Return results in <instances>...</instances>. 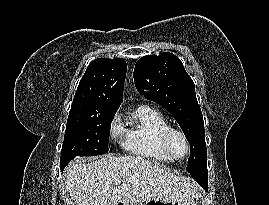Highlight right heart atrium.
Listing matches in <instances>:
<instances>
[{
  "instance_id": "obj_1",
  "label": "right heart atrium",
  "mask_w": 269,
  "mask_h": 205,
  "mask_svg": "<svg viewBox=\"0 0 269 205\" xmlns=\"http://www.w3.org/2000/svg\"><path fill=\"white\" fill-rule=\"evenodd\" d=\"M108 132L112 140L119 141L122 139L125 129L119 115H114L111 118L108 126Z\"/></svg>"
}]
</instances>
